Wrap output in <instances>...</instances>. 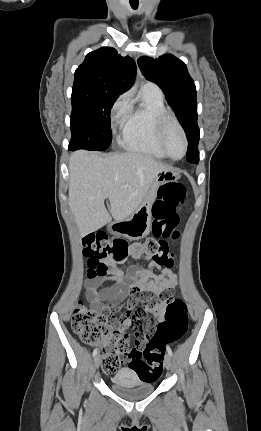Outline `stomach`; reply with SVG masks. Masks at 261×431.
I'll return each mask as SVG.
<instances>
[{
    "mask_svg": "<svg viewBox=\"0 0 261 431\" xmlns=\"http://www.w3.org/2000/svg\"><path fill=\"white\" fill-rule=\"evenodd\" d=\"M181 177L177 169H168L158 173L154 183L138 208L128 218L114 221L107 227L108 231L117 236L128 239H141L146 237L151 230L152 206L157 198L159 187L165 183L174 182Z\"/></svg>",
    "mask_w": 261,
    "mask_h": 431,
    "instance_id": "1",
    "label": "stomach"
}]
</instances>
